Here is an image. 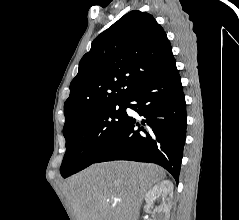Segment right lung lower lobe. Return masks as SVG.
<instances>
[{
    "label": "right lung lower lobe",
    "instance_id": "98d812e1",
    "mask_svg": "<svg viewBox=\"0 0 239 220\" xmlns=\"http://www.w3.org/2000/svg\"><path fill=\"white\" fill-rule=\"evenodd\" d=\"M125 107L144 119H126L94 163L134 160L156 163L178 183L186 137V103L175 60L135 90ZM137 127V129H135Z\"/></svg>",
    "mask_w": 239,
    "mask_h": 220
}]
</instances>
